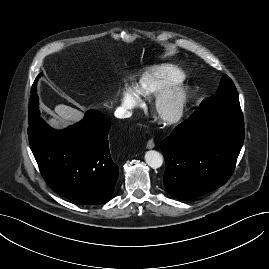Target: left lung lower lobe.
I'll use <instances>...</instances> for the list:
<instances>
[{"label": "left lung lower lobe", "instance_id": "1", "mask_svg": "<svg viewBox=\"0 0 269 269\" xmlns=\"http://www.w3.org/2000/svg\"><path fill=\"white\" fill-rule=\"evenodd\" d=\"M199 108L160 145L166 162L163 183L178 200H189L224 185L244 141L240 104Z\"/></svg>", "mask_w": 269, "mask_h": 269}]
</instances>
